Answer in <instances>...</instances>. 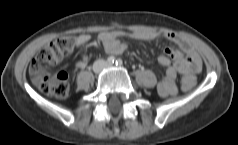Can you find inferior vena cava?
<instances>
[{"instance_id": "602c4592", "label": "inferior vena cava", "mask_w": 238, "mask_h": 145, "mask_svg": "<svg viewBox=\"0 0 238 145\" xmlns=\"http://www.w3.org/2000/svg\"><path fill=\"white\" fill-rule=\"evenodd\" d=\"M98 63H104V61H96V62L94 63V65H96V64H98Z\"/></svg>"}]
</instances>
